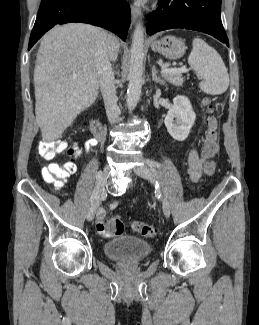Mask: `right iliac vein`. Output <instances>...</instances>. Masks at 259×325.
Wrapping results in <instances>:
<instances>
[{
  "label": "right iliac vein",
  "mask_w": 259,
  "mask_h": 325,
  "mask_svg": "<svg viewBox=\"0 0 259 325\" xmlns=\"http://www.w3.org/2000/svg\"><path fill=\"white\" fill-rule=\"evenodd\" d=\"M109 173H110V166L109 165H106L103 169V171L101 172V175H100V180H101V183H100V186L98 187V194L100 195V193L103 191L104 187H105V183H106V180L109 176ZM98 203H99V197L97 196V199L91 204L89 210H88V213H87V219L88 221H92L95 217V213H96V210H97V207H98Z\"/></svg>",
  "instance_id": "1"
}]
</instances>
